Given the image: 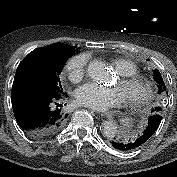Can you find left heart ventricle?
<instances>
[{
	"mask_svg": "<svg viewBox=\"0 0 177 177\" xmlns=\"http://www.w3.org/2000/svg\"><path fill=\"white\" fill-rule=\"evenodd\" d=\"M117 86L118 88L121 89V91L123 92L125 98L130 95V94H133V93H137V90L136 89H132V88H129V87H126L124 85H122L120 83V80L117 82Z\"/></svg>",
	"mask_w": 177,
	"mask_h": 177,
	"instance_id": "left-heart-ventricle-1",
	"label": "left heart ventricle"
}]
</instances>
